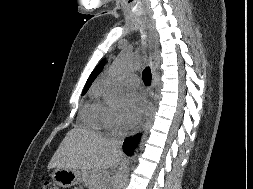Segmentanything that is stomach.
<instances>
[{"label": "stomach", "instance_id": "0dacf381", "mask_svg": "<svg viewBox=\"0 0 253 189\" xmlns=\"http://www.w3.org/2000/svg\"><path fill=\"white\" fill-rule=\"evenodd\" d=\"M52 178L58 186L69 188L81 180L82 173L78 170L56 168L52 173Z\"/></svg>", "mask_w": 253, "mask_h": 189}]
</instances>
